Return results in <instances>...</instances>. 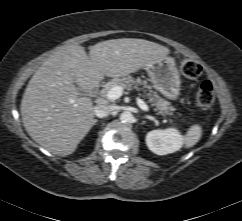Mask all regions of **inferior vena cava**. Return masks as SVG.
<instances>
[{
	"label": "inferior vena cava",
	"instance_id": "inferior-vena-cava-1",
	"mask_svg": "<svg viewBox=\"0 0 242 221\" xmlns=\"http://www.w3.org/2000/svg\"><path fill=\"white\" fill-rule=\"evenodd\" d=\"M113 111V107L109 106V105H96L94 107V114L98 117V118H104L106 116H108L109 114H111Z\"/></svg>",
	"mask_w": 242,
	"mask_h": 221
}]
</instances>
